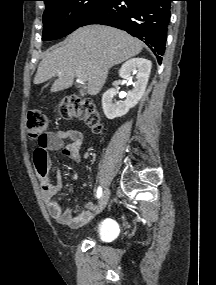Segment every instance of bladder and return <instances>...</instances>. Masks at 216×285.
Here are the masks:
<instances>
[{
	"mask_svg": "<svg viewBox=\"0 0 216 285\" xmlns=\"http://www.w3.org/2000/svg\"><path fill=\"white\" fill-rule=\"evenodd\" d=\"M115 233V225L108 220L103 221L95 230L97 238L101 241H108L115 235Z\"/></svg>",
	"mask_w": 216,
	"mask_h": 285,
	"instance_id": "obj_1",
	"label": "bladder"
}]
</instances>
